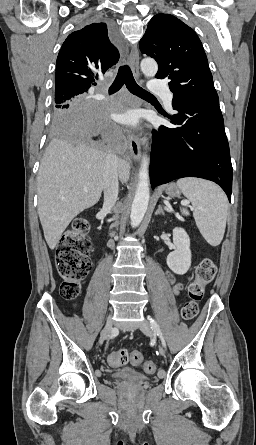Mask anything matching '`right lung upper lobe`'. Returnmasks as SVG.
<instances>
[{
  "mask_svg": "<svg viewBox=\"0 0 256 445\" xmlns=\"http://www.w3.org/2000/svg\"><path fill=\"white\" fill-rule=\"evenodd\" d=\"M119 60L106 23H93L70 34L56 62L55 96L87 93L98 76Z\"/></svg>",
  "mask_w": 256,
  "mask_h": 445,
  "instance_id": "1",
  "label": "right lung upper lobe"
}]
</instances>
